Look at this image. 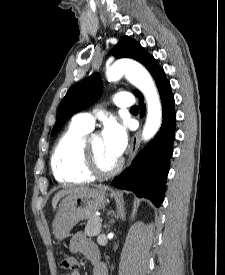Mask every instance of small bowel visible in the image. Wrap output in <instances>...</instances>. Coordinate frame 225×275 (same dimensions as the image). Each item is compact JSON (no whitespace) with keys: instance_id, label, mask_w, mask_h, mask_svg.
<instances>
[{"instance_id":"1","label":"small bowel","mask_w":225,"mask_h":275,"mask_svg":"<svg viewBox=\"0 0 225 275\" xmlns=\"http://www.w3.org/2000/svg\"><path fill=\"white\" fill-rule=\"evenodd\" d=\"M70 251L85 255L93 264L92 275H108L107 267L100 260V254L96 244L83 232H77L71 237ZM61 275H81L80 272L64 273Z\"/></svg>"}]
</instances>
